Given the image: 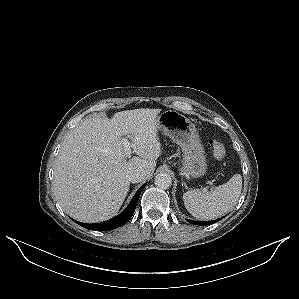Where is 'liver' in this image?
Instances as JSON below:
<instances>
[{
    "mask_svg": "<svg viewBox=\"0 0 299 299\" xmlns=\"http://www.w3.org/2000/svg\"><path fill=\"white\" fill-rule=\"evenodd\" d=\"M161 109L117 112L111 119L90 117L70 130L54 168L53 190L74 219L96 223L114 217L130 187L128 175L140 169L149 179L162 153L157 136ZM137 155L127 160L123 139Z\"/></svg>",
    "mask_w": 299,
    "mask_h": 299,
    "instance_id": "liver-1",
    "label": "liver"
}]
</instances>
